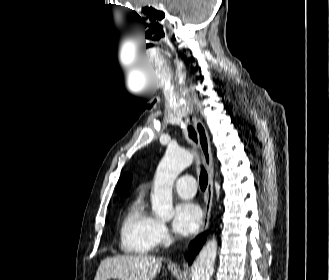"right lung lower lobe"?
I'll use <instances>...</instances> for the list:
<instances>
[{
	"label": "right lung lower lobe",
	"mask_w": 329,
	"mask_h": 280,
	"mask_svg": "<svg viewBox=\"0 0 329 280\" xmlns=\"http://www.w3.org/2000/svg\"><path fill=\"white\" fill-rule=\"evenodd\" d=\"M206 240V233L198 236L194 241L190 243L189 253L187 254L186 258L189 262H192L196 254L199 252L201 247L203 246Z\"/></svg>",
	"instance_id": "98d812e1"
}]
</instances>
